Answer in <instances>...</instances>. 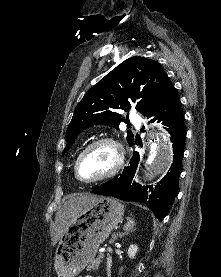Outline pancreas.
Returning a JSON list of instances; mask_svg holds the SVG:
<instances>
[{"instance_id": "1", "label": "pancreas", "mask_w": 221, "mask_h": 277, "mask_svg": "<svg viewBox=\"0 0 221 277\" xmlns=\"http://www.w3.org/2000/svg\"><path fill=\"white\" fill-rule=\"evenodd\" d=\"M101 258L102 257H98V258H96V259H93L92 261H91V263L87 266V270L88 271H91V270H98V268H99V266H100V264H101Z\"/></svg>"}]
</instances>
